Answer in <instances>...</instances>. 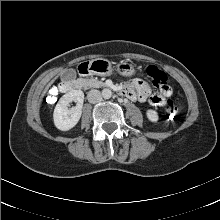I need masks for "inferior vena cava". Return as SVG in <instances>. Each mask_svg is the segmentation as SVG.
Masks as SVG:
<instances>
[{
  "mask_svg": "<svg viewBox=\"0 0 220 220\" xmlns=\"http://www.w3.org/2000/svg\"><path fill=\"white\" fill-rule=\"evenodd\" d=\"M87 98L90 103L95 104L102 101V94L99 90L92 89L88 92Z\"/></svg>",
  "mask_w": 220,
  "mask_h": 220,
  "instance_id": "inferior-vena-cava-1",
  "label": "inferior vena cava"
}]
</instances>
